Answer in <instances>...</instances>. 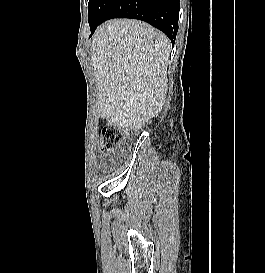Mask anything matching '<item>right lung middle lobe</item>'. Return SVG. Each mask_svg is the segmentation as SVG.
<instances>
[{
    "label": "right lung middle lobe",
    "instance_id": "1",
    "mask_svg": "<svg viewBox=\"0 0 265 273\" xmlns=\"http://www.w3.org/2000/svg\"><path fill=\"white\" fill-rule=\"evenodd\" d=\"M113 0H89L88 22L90 29L97 27Z\"/></svg>",
    "mask_w": 265,
    "mask_h": 273
}]
</instances>
